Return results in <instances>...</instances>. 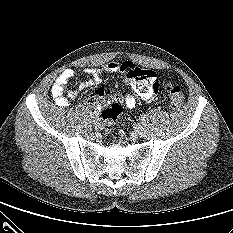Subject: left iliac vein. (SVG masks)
<instances>
[{
  "label": "left iliac vein",
  "instance_id": "obj_1",
  "mask_svg": "<svg viewBox=\"0 0 233 233\" xmlns=\"http://www.w3.org/2000/svg\"><path fill=\"white\" fill-rule=\"evenodd\" d=\"M136 134L139 137H145L146 134H147V130L143 125H138L137 128H136Z\"/></svg>",
  "mask_w": 233,
  "mask_h": 233
}]
</instances>
